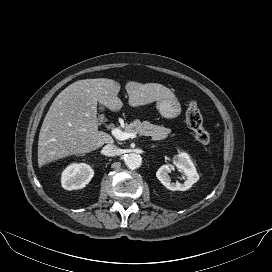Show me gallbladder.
Instances as JSON below:
<instances>
[{
    "instance_id": "1",
    "label": "gallbladder",
    "mask_w": 272,
    "mask_h": 272,
    "mask_svg": "<svg viewBox=\"0 0 272 272\" xmlns=\"http://www.w3.org/2000/svg\"><path fill=\"white\" fill-rule=\"evenodd\" d=\"M100 110H101V112H103L105 110V106L102 105V104H100ZM104 119H105L104 114H100V116H99V122H103Z\"/></svg>"
}]
</instances>
